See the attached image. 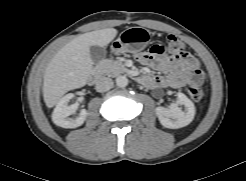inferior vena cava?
Returning <instances> with one entry per match:
<instances>
[{"mask_svg":"<svg viewBox=\"0 0 246 181\" xmlns=\"http://www.w3.org/2000/svg\"><path fill=\"white\" fill-rule=\"evenodd\" d=\"M113 87V80L109 77H101L97 80L95 89L98 92H105Z\"/></svg>","mask_w":246,"mask_h":181,"instance_id":"obj_1","label":"inferior vena cava"}]
</instances>
